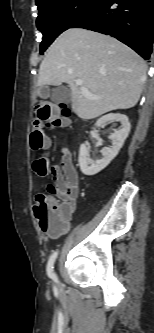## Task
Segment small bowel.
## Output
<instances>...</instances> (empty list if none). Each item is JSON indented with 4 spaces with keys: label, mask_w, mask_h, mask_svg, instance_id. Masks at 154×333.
<instances>
[{
    "label": "small bowel",
    "mask_w": 154,
    "mask_h": 333,
    "mask_svg": "<svg viewBox=\"0 0 154 333\" xmlns=\"http://www.w3.org/2000/svg\"><path fill=\"white\" fill-rule=\"evenodd\" d=\"M50 174L53 185H49L47 190L63 200L62 205L66 208L69 218L75 210L79 195V176L69 149H62L61 166L52 165ZM68 228L69 225L67 223L65 229L60 233L67 232Z\"/></svg>",
    "instance_id": "obj_1"
}]
</instances>
